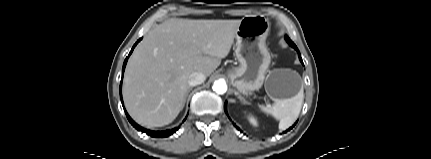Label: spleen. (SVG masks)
Returning <instances> with one entry per match:
<instances>
[{
	"label": "spleen",
	"mask_w": 431,
	"mask_h": 159,
	"mask_svg": "<svg viewBox=\"0 0 431 159\" xmlns=\"http://www.w3.org/2000/svg\"><path fill=\"white\" fill-rule=\"evenodd\" d=\"M303 88L290 99H276L272 106H261V110L279 120V129L285 130L297 119L303 103Z\"/></svg>",
	"instance_id": "spleen-1"
}]
</instances>
